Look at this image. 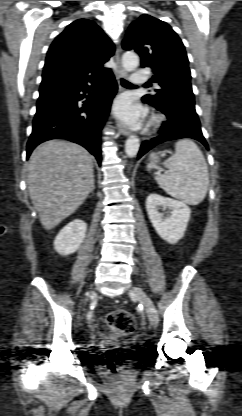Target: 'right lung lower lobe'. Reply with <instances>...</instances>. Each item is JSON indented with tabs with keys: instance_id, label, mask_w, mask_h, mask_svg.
Instances as JSON below:
<instances>
[{
	"instance_id": "1",
	"label": "right lung lower lobe",
	"mask_w": 242,
	"mask_h": 416,
	"mask_svg": "<svg viewBox=\"0 0 242 416\" xmlns=\"http://www.w3.org/2000/svg\"><path fill=\"white\" fill-rule=\"evenodd\" d=\"M116 92L117 83L110 72L89 83L40 93L27 158L40 143L63 138L85 147L100 164L101 130ZM84 98L87 99L80 104Z\"/></svg>"
}]
</instances>
